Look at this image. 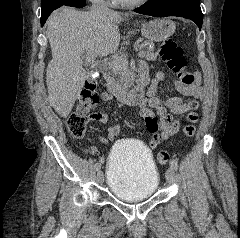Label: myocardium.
I'll list each match as a JSON object with an SVG mask.
<instances>
[{
  "label": "myocardium",
  "instance_id": "f54148a6",
  "mask_svg": "<svg viewBox=\"0 0 240 238\" xmlns=\"http://www.w3.org/2000/svg\"><path fill=\"white\" fill-rule=\"evenodd\" d=\"M148 0H133V1H123L116 0V3L123 7H136L146 3Z\"/></svg>",
  "mask_w": 240,
  "mask_h": 238
}]
</instances>
